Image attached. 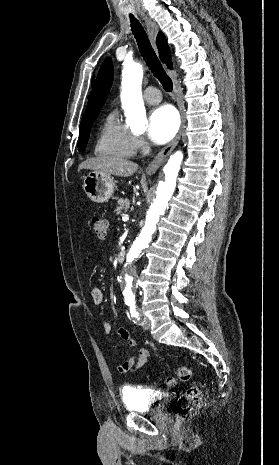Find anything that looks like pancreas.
<instances>
[{"label":"pancreas","mask_w":279,"mask_h":465,"mask_svg":"<svg viewBox=\"0 0 279 465\" xmlns=\"http://www.w3.org/2000/svg\"><path fill=\"white\" fill-rule=\"evenodd\" d=\"M129 208V204L126 200L124 199H119L118 200V206L115 209L116 214H122L123 212H126Z\"/></svg>","instance_id":"obj_1"}]
</instances>
